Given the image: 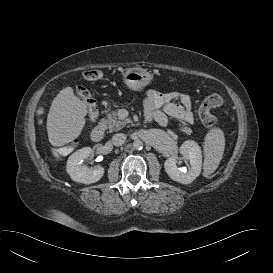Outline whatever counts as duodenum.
I'll return each mask as SVG.
<instances>
[{
  "label": "duodenum",
  "mask_w": 273,
  "mask_h": 273,
  "mask_svg": "<svg viewBox=\"0 0 273 273\" xmlns=\"http://www.w3.org/2000/svg\"><path fill=\"white\" fill-rule=\"evenodd\" d=\"M106 130V124L104 121H100L93 129L91 137L94 142H99L103 139Z\"/></svg>",
  "instance_id": "obj_1"
}]
</instances>
